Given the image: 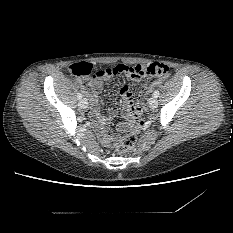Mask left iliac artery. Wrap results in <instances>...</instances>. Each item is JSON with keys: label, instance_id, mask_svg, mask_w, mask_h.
Returning <instances> with one entry per match:
<instances>
[{"label": "left iliac artery", "instance_id": "obj_1", "mask_svg": "<svg viewBox=\"0 0 233 233\" xmlns=\"http://www.w3.org/2000/svg\"><path fill=\"white\" fill-rule=\"evenodd\" d=\"M153 95H154L155 98H157L159 96V91L155 90Z\"/></svg>", "mask_w": 233, "mask_h": 233}]
</instances>
